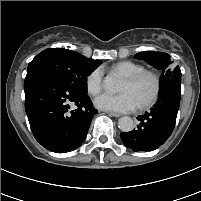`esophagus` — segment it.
<instances>
[{"label":"esophagus","instance_id":"34e87169","mask_svg":"<svg viewBox=\"0 0 201 201\" xmlns=\"http://www.w3.org/2000/svg\"><path fill=\"white\" fill-rule=\"evenodd\" d=\"M108 115L113 116V117H120L121 114L115 113V112H107Z\"/></svg>","mask_w":201,"mask_h":201}]
</instances>
